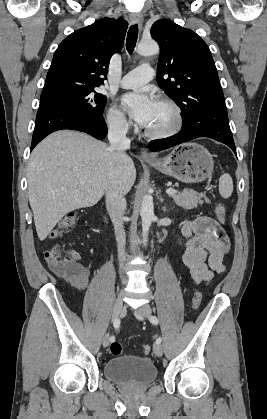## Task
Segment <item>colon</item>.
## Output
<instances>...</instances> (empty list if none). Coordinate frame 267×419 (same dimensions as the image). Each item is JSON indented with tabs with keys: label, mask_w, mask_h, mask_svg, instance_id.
<instances>
[{
	"label": "colon",
	"mask_w": 267,
	"mask_h": 419,
	"mask_svg": "<svg viewBox=\"0 0 267 419\" xmlns=\"http://www.w3.org/2000/svg\"><path fill=\"white\" fill-rule=\"evenodd\" d=\"M215 214L220 222L226 219V208L219 203L215 207ZM78 221L77 213L66 214L58 223L56 229L51 233L52 239L61 236L64 232L71 229ZM48 266L57 274L65 277H77L84 272V267L79 263V254L74 250L64 249L60 245H54L47 249L44 253ZM202 301L200 292H195L192 298V307L197 309ZM112 355L118 356L122 352V345L118 341H114L109 348ZM141 351L147 355L150 352L149 345H142Z\"/></svg>",
	"instance_id": "obj_1"
}]
</instances>
